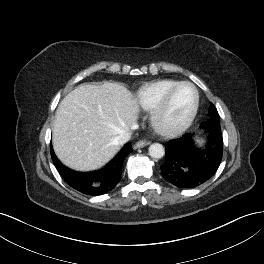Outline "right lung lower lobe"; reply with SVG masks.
I'll use <instances>...</instances> for the list:
<instances>
[{
  "instance_id": "98d812e1",
  "label": "right lung lower lobe",
  "mask_w": 264,
  "mask_h": 264,
  "mask_svg": "<svg viewBox=\"0 0 264 264\" xmlns=\"http://www.w3.org/2000/svg\"><path fill=\"white\" fill-rule=\"evenodd\" d=\"M53 163L64 180L74 189L87 195H101L113 189L121 178L122 164L125 157L133 151L127 143L118 155L104 168L89 173L74 172L57 159L51 149Z\"/></svg>"
}]
</instances>
